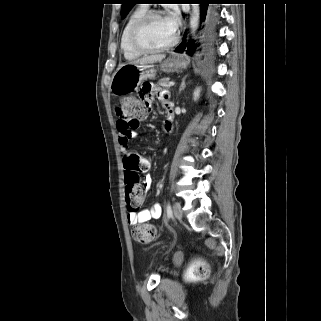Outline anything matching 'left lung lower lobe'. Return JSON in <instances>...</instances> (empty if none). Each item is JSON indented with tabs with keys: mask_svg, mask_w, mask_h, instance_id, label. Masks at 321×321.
I'll use <instances>...</instances> for the list:
<instances>
[{
	"mask_svg": "<svg viewBox=\"0 0 321 321\" xmlns=\"http://www.w3.org/2000/svg\"><path fill=\"white\" fill-rule=\"evenodd\" d=\"M200 4V20L202 23L201 38L203 44L207 46L215 35V27L218 22V13L214 5V0H193ZM186 33L184 34L183 41L175 49L176 52L186 51L189 54H193L199 44H195L196 40L190 39L186 41Z\"/></svg>",
	"mask_w": 321,
	"mask_h": 321,
	"instance_id": "1",
	"label": "left lung lower lobe"
}]
</instances>
